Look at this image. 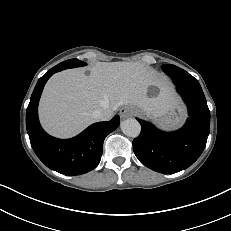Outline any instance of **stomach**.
Returning a JSON list of instances; mask_svg holds the SVG:
<instances>
[{
    "mask_svg": "<svg viewBox=\"0 0 231 231\" xmlns=\"http://www.w3.org/2000/svg\"><path fill=\"white\" fill-rule=\"evenodd\" d=\"M134 111L136 113H142L143 112L138 107H134ZM184 116H185L184 108L179 103H177L173 107H171L166 114L156 118L155 121L161 127L175 128L183 121Z\"/></svg>",
    "mask_w": 231,
    "mask_h": 231,
    "instance_id": "1",
    "label": "stomach"
}]
</instances>
